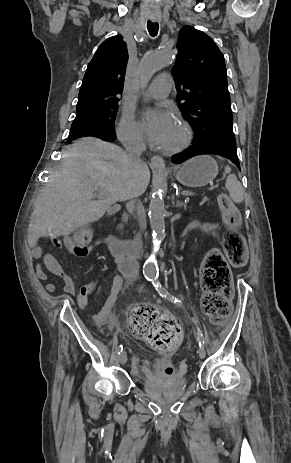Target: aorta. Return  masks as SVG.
Returning <instances> with one entry per match:
<instances>
[{
	"instance_id": "aorta-1",
	"label": "aorta",
	"mask_w": 291,
	"mask_h": 463,
	"mask_svg": "<svg viewBox=\"0 0 291 463\" xmlns=\"http://www.w3.org/2000/svg\"><path fill=\"white\" fill-rule=\"evenodd\" d=\"M175 55L170 50L150 52L144 56L139 68V83L145 88L152 76L163 67L174 61ZM165 208L162 194L158 191L152 195L149 207L150 226L155 244H159L165 237ZM143 273L147 278H154L158 274L157 262L149 257L144 264Z\"/></svg>"
}]
</instances>
